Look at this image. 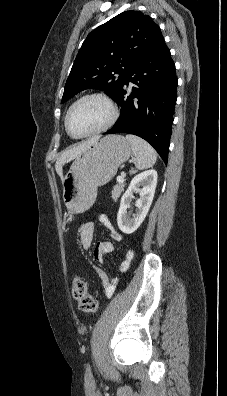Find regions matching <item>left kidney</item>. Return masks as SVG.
<instances>
[{
    "instance_id": "left-kidney-1",
    "label": "left kidney",
    "mask_w": 227,
    "mask_h": 396,
    "mask_svg": "<svg viewBox=\"0 0 227 396\" xmlns=\"http://www.w3.org/2000/svg\"><path fill=\"white\" fill-rule=\"evenodd\" d=\"M157 177L156 170L151 169L135 175L131 180L127 191L121 198L120 208L117 214V224L123 233H133L144 221L153 201ZM134 193H139L140 198L135 204L137 207L136 213L131 218L130 213H127V209L130 208Z\"/></svg>"
}]
</instances>
